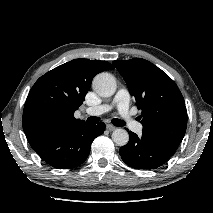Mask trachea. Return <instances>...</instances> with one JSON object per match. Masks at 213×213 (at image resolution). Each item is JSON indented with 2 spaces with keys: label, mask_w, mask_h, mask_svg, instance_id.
Masks as SVG:
<instances>
[{
  "label": "trachea",
  "mask_w": 213,
  "mask_h": 213,
  "mask_svg": "<svg viewBox=\"0 0 213 213\" xmlns=\"http://www.w3.org/2000/svg\"><path fill=\"white\" fill-rule=\"evenodd\" d=\"M87 122L91 123V124H97L99 122V118L98 117H88L87 118ZM112 124L114 126H118V127H123L125 125L124 121L118 119V118H114L112 119Z\"/></svg>",
  "instance_id": "3493384b"
}]
</instances>
